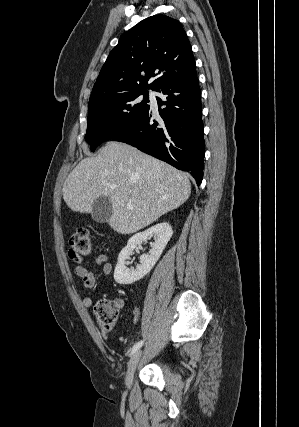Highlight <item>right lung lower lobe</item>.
Wrapping results in <instances>:
<instances>
[{"label": "right lung lower lobe", "mask_w": 299, "mask_h": 427, "mask_svg": "<svg viewBox=\"0 0 299 427\" xmlns=\"http://www.w3.org/2000/svg\"><path fill=\"white\" fill-rule=\"evenodd\" d=\"M156 91L164 95L163 98L157 97L163 122L153 120L149 108L134 125L112 141L125 142L177 169L188 171L200 185L205 143L197 75L166 83Z\"/></svg>", "instance_id": "98d812e1"}]
</instances>
